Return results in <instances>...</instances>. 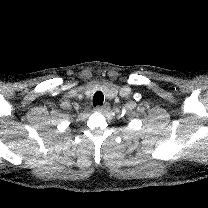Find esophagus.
<instances>
[{
    "label": "esophagus",
    "instance_id": "1",
    "mask_svg": "<svg viewBox=\"0 0 208 208\" xmlns=\"http://www.w3.org/2000/svg\"><path fill=\"white\" fill-rule=\"evenodd\" d=\"M110 109V104L109 103H105V104H103V105H98L96 108H95V110L97 111V112H105V111H107V110H109Z\"/></svg>",
    "mask_w": 208,
    "mask_h": 208
}]
</instances>
